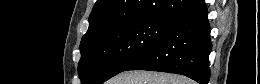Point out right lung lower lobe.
<instances>
[{
	"mask_svg": "<svg viewBox=\"0 0 260 84\" xmlns=\"http://www.w3.org/2000/svg\"><path fill=\"white\" fill-rule=\"evenodd\" d=\"M211 48L207 8L203 2L173 21L154 45L126 70L176 73L207 84Z\"/></svg>",
	"mask_w": 260,
	"mask_h": 84,
	"instance_id": "obj_1",
	"label": "right lung lower lobe"
}]
</instances>
